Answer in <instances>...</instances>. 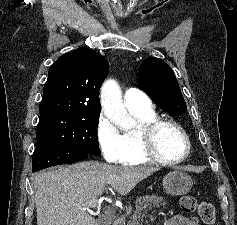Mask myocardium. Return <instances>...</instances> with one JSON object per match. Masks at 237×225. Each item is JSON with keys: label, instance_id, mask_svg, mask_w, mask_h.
<instances>
[{"label": "myocardium", "instance_id": "1", "mask_svg": "<svg viewBox=\"0 0 237 225\" xmlns=\"http://www.w3.org/2000/svg\"><path fill=\"white\" fill-rule=\"evenodd\" d=\"M164 127L174 128L182 135L186 144V152L182 157L177 159H167L160 154L157 146V135ZM137 136L143 155L151 162H156L162 165H175L186 160L191 152V141L187 132L178 123L170 120L157 118L148 123L142 124L137 130Z\"/></svg>", "mask_w": 237, "mask_h": 225}]
</instances>
